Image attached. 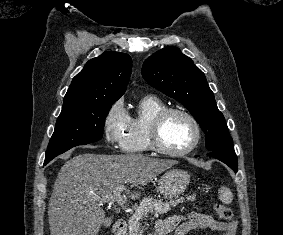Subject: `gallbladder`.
Instances as JSON below:
<instances>
[{
	"instance_id": "1",
	"label": "gallbladder",
	"mask_w": 283,
	"mask_h": 235,
	"mask_svg": "<svg viewBox=\"0 0 283 235\" xmlns=\"http://www.w3.org/2000/svg\"><path fill=\"white\" fill-rule=\"evenodd\" d=\"M111 222H112L111 218H107V219L105 220L104 225H105L106 227H108V226H110Z\"/></svg>"
}]
</instances>
